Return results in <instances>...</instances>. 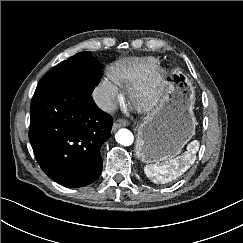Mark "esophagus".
<instances>
[{
  "label": "esophagus",
  "mask_w": 243,
  "mask_h": 243,
  "mask_svg": "<svg viewBox=\"0 0 243 243\" xmlns=\"http://www.w3.org/2000/svg\"><path fill=\"white\" fill-rule=\"evenodd\" d=\"M129 125V122L127 120L119 119L114 122L113 124V130H117L118 128L125 127Z\"/></svg>",
  "instance_id": "esophagus-1"
}]
</instances>
